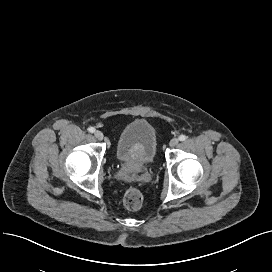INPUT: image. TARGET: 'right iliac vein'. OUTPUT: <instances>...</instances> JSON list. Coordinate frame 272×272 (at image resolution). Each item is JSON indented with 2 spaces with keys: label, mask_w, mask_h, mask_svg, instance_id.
<instances>
[{
  "label": "right iliac vein",
  "mask_w": 272,
  "mask_h": 272,
  "mask_svg": "<svg viewBox=\"0 0 272 272\" xmlns=\"http://www.w3.org/2000/svg\"><path fill=\"white\" fill-rule=\"evenodd\" d=\"M94 136L98 139V140H103L104 135L101 131L97 130L94 132Z\"/></svg>",
  "instance_id": "1"
}]
</instances>
